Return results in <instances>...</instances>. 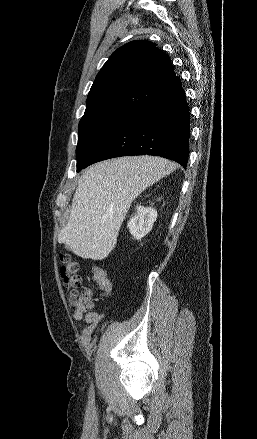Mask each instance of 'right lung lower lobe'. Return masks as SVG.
I'll list each match as a JSON object with an SVG mask.
<instances>
[{
  "instance_id": "right-lung-lower-lobe-1",
  "label": "right lung lower lobe",
  "mask_w": 257,
  "mask_h": 439,
  "mask_svg": "<svg viewBox=\"0 0 257 439\" xmlns=\"http://www.w3.org/2000/svg\"><path fill=\"white\" fill-rule=\"evenodd\" d=\"M190 117L185 92L179 85L124 119L99 145L83 168L105 159L154 155L188 162Z\"/></svg>"
}]
</instances>
